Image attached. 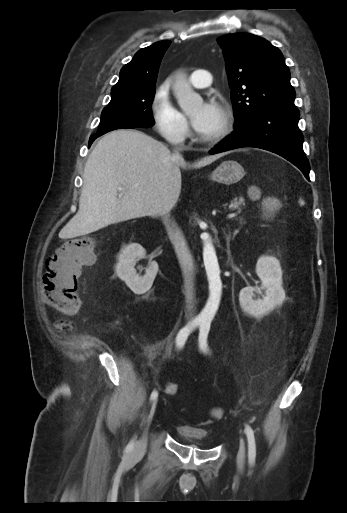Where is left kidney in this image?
<instances>
[{"label": "left kidney", "mask_w": 347, "mask_h": 513, "mask_svg": "<svg viewBox=\"0 0 347 513\" xmlns=\"http://www.w3.org/2000/svg\"><path fill=\"white\" fill-rule=\"evenodd\" d=\"M256 274L262 282L261 286L243 288L239 294V301L245 313L262 318L282 305L285 291L282 287L281 266L275 257L261 256L256 264ZM255 293L261 295L262 299H255Z\"/></svg>", "instance_id": "obj_1"}]
</instances>
